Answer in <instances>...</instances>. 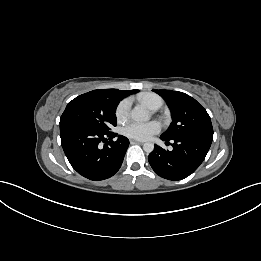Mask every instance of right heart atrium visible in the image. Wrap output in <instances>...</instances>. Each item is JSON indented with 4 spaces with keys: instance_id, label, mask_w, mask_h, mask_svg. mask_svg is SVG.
<instances>
[{
    "instance_id": "d8ad5b80",
    "label": "right heart atrium",
    "mask_w": 261,
    "mask_h": 261,
    "mask_svg": "<svg viewBox=\"0 0 261 261\" xmlns=\"http://www.w3.org/2000/svg\"><path fill=\"white\" fill-rule=\"evenodd\" d=\"M128 111H129V100L124 99L118 104L115 110V116L117 120L124 121L127 118Z\"/></svg>"
}]
</instances>
